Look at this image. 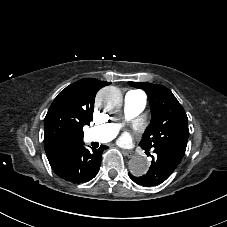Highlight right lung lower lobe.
Segmentation results:
<instances>
[{"label":"right lung lower lobe","instance_id":"obj_1","mask_svg":"<svg viewBox=\"0 0 227 227\" xmlns=\"http://www.w3.org/2000/svg\"><path fill=\"white\" fill-rule=\"evenodd\" d=\"M105 148L108 147L102 145L99 150L92 148V151H89L82 143L67 150L56 163L50 165L53 171L66 181L87 182L97 175Z\"/></svg>","mask_w":227,"mask_h":227}]
</instances>
